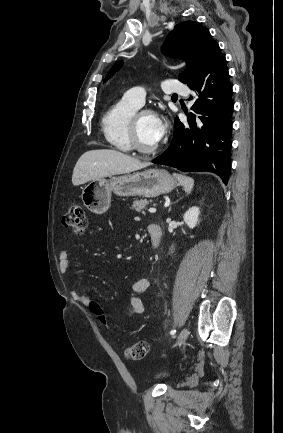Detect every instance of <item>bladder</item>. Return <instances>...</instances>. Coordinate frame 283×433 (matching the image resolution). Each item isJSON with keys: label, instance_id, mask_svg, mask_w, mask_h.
<instances>
[{"label": "bladder", "instance_id": "bladder-1", "mask_svg": "<svg viewBox=\"0 0 283 433\" xmlns=\"http://www.w3.org/2000/svg\"><path fill=\"white\" fill-rule=\"evenodd\" d=\"M162 375V373H160L158 376H161Z\"/></svg>", "mask_w": 283, "mask_h": 433}]
</instances>
